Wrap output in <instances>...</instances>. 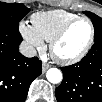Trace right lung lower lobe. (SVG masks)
<instances>
[{
    "label": "right lung lower lobe",
    "instance_id": "obj_1",
    "mask_svg": "<svg viewBox=\"0 0 102 102\" xmlns=\"http://www.w3.org/2000/svg\"><path fill=\"white\" fill-rule=\"evenodd\" d=\"M19 30H0V102H24L31 82L41 74L42 62L19 52Z\"/></svg>",
    "mask_w": 102,
    "mask_h": 102
}]
</instances>
